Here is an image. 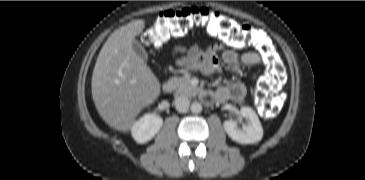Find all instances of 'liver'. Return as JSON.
Segmentation results:
<instances>
[{"mask_svg": "<svg viewBox=\"0 0 365 180\" xmlns=\"http://www.w3.org/2000/svg\"><path fill=\"white\" fill-rule=\"evenodd\" d=\"M145 28L134 20L115 30L103 45L92 75V97L102 119L120 132H129L138 114L160 95V82L132 49Z\"/></svg>", "mask_w": 365, "mask_h": 180, "instance_id": "obj_1", "label": "liver"}]
</instances>
